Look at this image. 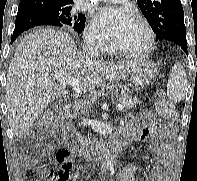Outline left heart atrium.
Masks as SVG:
<instances>
[{"mask_svg": "<svg viewBox=\"0 0 197 181\" xmlns=\"http://www.w3.org/2000/svg\"><path fill=\"white\" fill-rule=\"evenodd\" d=\"M98 25L117 40L130 25L131 20L123 9L104 7L95 15Z\"/></svg>", "mask_w": 197, "mask_h": 181, "instance_id": "obj_1", "label": "left heart atrium"}]
</instances>
